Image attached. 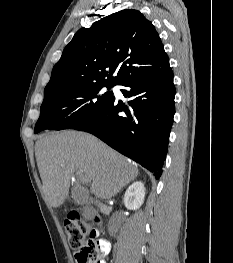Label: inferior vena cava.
<instances>
[{"label":"inferior vena cava","mask_w":233,"mask_h":263,"mask_svg":"<svg viewBox=\"0 0 233 263\" xmlns=\"http://www.w3.org/2000/svg\"><path fill=\"white\" fill-rule=\"evenodd\" d=\"M99 207H100V209H101V210L103 209V206H102V204H99Z\"/></svg>","instance_id":"1"}]
</instances>
